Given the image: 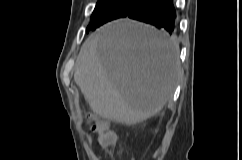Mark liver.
Segmentation results:
<instances>
[{
    "mask_svg": "<svg viewBox=\"0 0 242 160\" xmlns=\"http://www.w3.org/2000/svg\"><path fill=\"white\" fill-rule=\"evenodd\" d=\"M179 73V44L173 38L120 19L85 40L74 81L97 115L134 125L162 110Z\"/></svg>",
    "mask_w": 242,
    "mask_h": 160,
    "instance_id": "obj_1",
    "label": "liver"
}]
</instances>
